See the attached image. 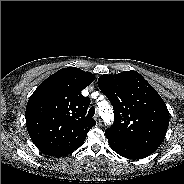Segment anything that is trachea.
I'll return each mask as SVG.
<instances>
[{
    "label": "trachea",
    "instance_id": "obj_1",
    "mask_svg": "<svg viewBox=\"0 0 184 184\" xmlns=\"http://www.w3.org/2000/svg\"><path fill=\"white\" fill-rule=\"evenodd\" d=\"M95 115V108L94 107H91L88 111V114L87 116L92 118L93 116Z\"/></svg>",
    "mask_w": 184,
    "mask_h": 184
}]
</instances>
